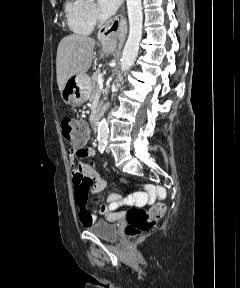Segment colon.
Instances as JSON below:
<instances>
[{
  "label": "colon",
  "mask_w": 240,
  "mask_h": 288,
  "mask_svg": "<svg viewBox=\"0 0 240 288\" xmlns=\"http://www.w3.org/2000/svg\"><path fill=\"white\" fill-rule=\"evenodd\" d=\"M60 127L63 137L71 143L83 141L87 136L84 123L73 118H64ZM164 213L165 205L162 202H157L149 209L131 208L127 212L125 234L130 238H134L150 230Z\"/></svg>",
  "instance_id": "colon-1"
}]
</instances>
